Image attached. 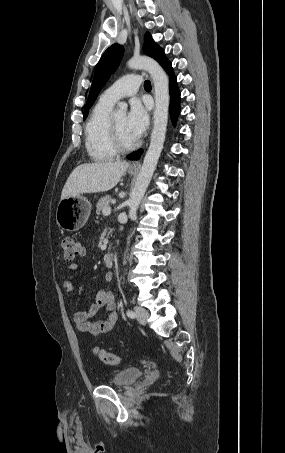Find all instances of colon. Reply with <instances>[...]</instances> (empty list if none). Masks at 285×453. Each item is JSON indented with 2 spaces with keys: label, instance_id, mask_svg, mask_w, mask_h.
I'll return each mask as SVG.
<instances>
[{
  "label": "colon",
  "instance_id": "obj_1",
  "mask_svg": "<svg viewBox=\"0 0 285 453\" xmlns=\"http://www.w3.org/2000/svg\"><path fill=\"white\" fill-rule=\"evenodd\" d=\"M80 245L79 243L71 238H64L62 241V249L64 254V259L66 261H73L76 257L80 255ZM95 355L99 358L101 362L107 365H117L120 363V357L116 354L108 352L100 348H94Z\"/></svg>",
  "mask_w": 285,
  "mask_h": 453
}]
</instances>
